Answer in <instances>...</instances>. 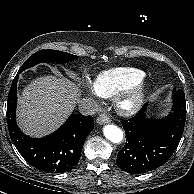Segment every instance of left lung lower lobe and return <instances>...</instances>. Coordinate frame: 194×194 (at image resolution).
<instances>
[{
    "mask_svg": "<svg viewBox=\"0 0 194 194\" xmlns=\"http://www.w3.org/2000/svg\"><path fill=\"white\" fill-rule=\"evenodd\" d=\"M172 112L154 120L145 107L134 117L121 121L126 144L118 153L117 165L131 174L145 173L163 165L176 150L186 120L185 94L175 90Z\"/></svg>",
    "mask_w": 194,
    "mask_h": 194,
    "instance_id": "left-lung-lower-lobe-1",
    "label": "left lung lower lobe"
}]
</instances>
